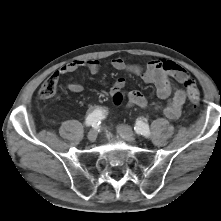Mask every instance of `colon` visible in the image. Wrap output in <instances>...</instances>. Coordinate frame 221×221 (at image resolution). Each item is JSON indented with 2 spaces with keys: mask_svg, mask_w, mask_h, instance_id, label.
<instances>
[{
  "mask_svg": "<svg viewBox=\"0 0 221 221\" xmlns=\"http://www.w3.org/2000/svg\"><path fill=\"white\" fill-rule=\"evenodd\" d=\"M184 86L189 98L190 103L193 107L200 105V96L195 86L194 81L191 78H187L184 81ZM58 88V79L54 76L47 78L40 86L38 90L39 99H48L55 95ZM124 94L122 91H117L112 95V101L115 105H120L123 101Z\"/></svg>",
  "mask_w": 221,
  "mask_h": 221,
  "instance_id": "1",
  "label": "colon"
}]
</instances>
